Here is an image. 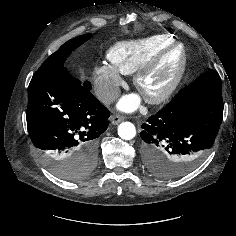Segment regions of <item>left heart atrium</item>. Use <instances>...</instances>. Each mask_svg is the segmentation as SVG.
Instances as JSON below:
<instances>
[{
	"instance_id": "left-heart-atrium-1",
	"label": "left heart atrium",
	"mask_w": 236,
	"mask_h": 236,
	"mask_svg": "<svg viewBox=\"0 0 236 236\" xmlns=\"http://www.w3.org/2000/svg\"><path fill=\"white\" fill-rule=\"evenodd\" d=\"M139 104V99L137 96L135 95H129V96H125L123 97L119 104H118V108L121 109L122 111H133L138 107Z\"/></svg>"
}]
</instances>
